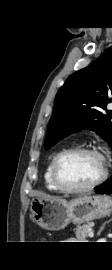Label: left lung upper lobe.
<instances>
[{
	"label": "left lung upper lobe",
	"instance_id": "obj_1",
	"mask_svg": "<svg viewBox=\"0 0 112 270\" xmlns=\"http://www.w3.org/2000/svg\"><path fill=\"white\" fill-rule=\"evenodd\" d=\"M112 97V47L88 67L73 73L59 89L44 147L88 128L112 147V111L103 114Z\"/></svg>",
	"mask_w": 112,
	"mask_h": 270
}]
</instances>
